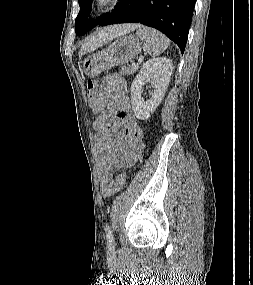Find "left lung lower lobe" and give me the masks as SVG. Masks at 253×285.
I'll return each instance as SVG.
<instances>
[{
    "mask_svg": "<svg viewBox=\"0 0 253 285\" xmlns=\"http://www.w3.org/2000/svg\"><path fill=\"white\" fill-rule=\"evenodd\" d=\"M196 0H122L100 26L141 23L164 33L185 50Z\"/></svg>",
    "mask_w": 253,
    "mask_h": 285,
    "instance_id": "0a47b994",
    "label": "left lung lower lobe"
}]
</instances>
